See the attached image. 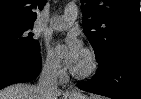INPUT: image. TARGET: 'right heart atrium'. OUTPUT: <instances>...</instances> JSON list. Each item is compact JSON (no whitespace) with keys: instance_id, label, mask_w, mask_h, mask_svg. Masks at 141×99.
<instances>
[{"instance_id":"right-heart-atrium-1","label":"right heart atrium","mask_w":141,"mask_h":99,"mask_svg":"<svg viewBox=\"0 0 141 99\" xmlns=\"http://www.w3.org/2000/svg\"><path fill=\"white\" fill-rule=\"evenodd\" d=\"M41 64L42 70L51 77H59L63 74L61 61L49 49L43 51Z\"/></svg>"}]
</instances>
